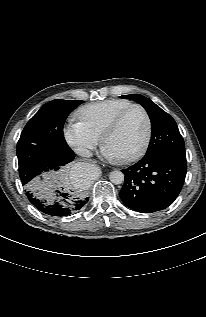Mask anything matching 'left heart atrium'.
<instances>
[{"label": "left heart atrium", "instance_id": "obj_1", "mask_svg": "<svg viewBox=\"0 0 206 317\" xmlns=\"http://www.w3.org/2000/svg\"><path fill=\"white\" fill-rule=\"evenodd\" d=\"M102 155L107 159H119V156L105 144L102 147Z\"/></svg>", "mask_w": 206, "mask_h": 317}]
</instances>
